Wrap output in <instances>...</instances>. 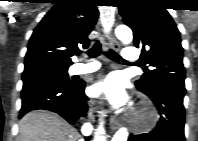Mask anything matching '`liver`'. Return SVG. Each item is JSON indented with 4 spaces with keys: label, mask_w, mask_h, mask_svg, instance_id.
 Segmentation results:
<instances>
[{
    "label": "liver",
    "mask_w": 198,
    "mask_h": 141,
    "mask_svg": "<svg viewBox=\"0 0 198 141\" xmlns=\"http://www.w3.org/2000/svg\"><path fill=\"white\" fill-rule=\"evenodd\" d=\"M77 138V131L63 118L35 110L21 119L17 141H76Z\"/></svg>",
    "instance_id": "6515ba94"
}]
</instances>
